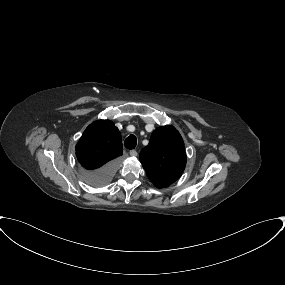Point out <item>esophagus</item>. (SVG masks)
I'll list each match as a JSON object with an SVG mask.
<instances>
[{"mask_svg":"<svg viewBox=\"0 0 285 285\" xmlns=\"http://www.w3.org/2000/svg\"><path fill=\"white\" fill-rule=\"evenodd\" d=\"M130 155L133 156V157L137 156V151L136 150H131L130 151Z\"/></svg>","mask_w":285,"mask_h":285,"instance_id":"obj_1","label":"esophagus"}]
</instances>
